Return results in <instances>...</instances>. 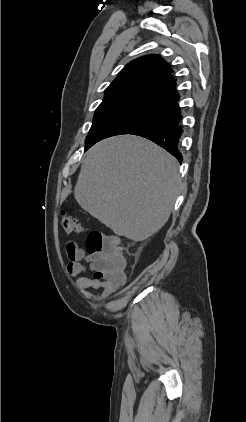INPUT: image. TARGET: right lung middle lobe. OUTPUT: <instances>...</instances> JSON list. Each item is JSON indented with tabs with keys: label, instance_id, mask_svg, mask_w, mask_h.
I'll list each match as a JSON object with an SVG mask.
<instances>
[{
	"label": "right lung middle lobe",
	"instance_id": "1",
	"mask_svg": "<svg viewBox=\"0 0 246 422\" xmlns=\"http://www.w3.org/2000/svg\"><path fill=\"white\" fill-rule=\"evenodd\" d=\"M161 115V109L139 106H99L87 135L85 150L115 135L129 134Z\"/></svg>",
	"mask_w": 246,
	"mask_h": 422
}]
</instances>
